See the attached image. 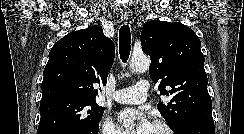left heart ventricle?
Returning a JSON list of instances; mask_svg holds the SVG:
<instances>
[{
  "label": "left heart ventricle",
  "instance_id": "1",
  "mask_svg": "<svg viewBox=\"0 0 244 134\" xmlns=\"http://www.w3.org/2000/svg\"><path fill=\"white\" fill-rule=\"evenodd\" d=\"M150 134H166V132L163 129L153 125Z\"/></svg>",
  "mask_w": 244,
  "mask_h": 134
}]
</instances>
